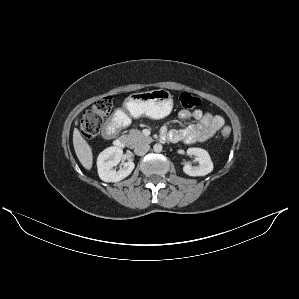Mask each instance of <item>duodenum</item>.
I'll return each instance as SVG.
<instances>
[{
	"label": "duodenum",
	"mask_w": 299,
	"mask_h": 299,
	"mask_svg": "<svg viewBox=\"0 0 299 299\" xmlns=\"http://www.w3.org/2000/svg\"><path fill=\"white\" fill-rule=\"evenodd\" d=\"M117 130H118V123L111 120L105 125L103 129V135L106 139H111L114 137ZM163 138L165 139L164 136ZM114 144L119 148H124L127 145V139L125 137H117L114 140Z\"/></svg>",
	"instance_id": "410a0bca"
}]
</instances>
